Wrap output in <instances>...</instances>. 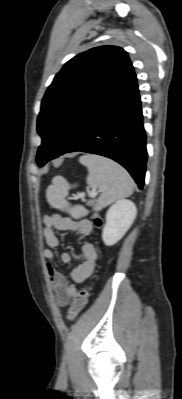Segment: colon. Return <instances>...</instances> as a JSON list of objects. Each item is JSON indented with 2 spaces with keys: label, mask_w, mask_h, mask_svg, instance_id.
Listing matches in <instances>:
<instances>
[{
  "label": "colon",
  "mask_w": 182,
  "mask_h": 399,
  "mask_svg": "<svg viewBox=\"0 0 182 399\" xmlns=\"http://www.w3.org/2000/svg\"><path fill=\"white\" fill-rule=\"evenodd\" d=\"M93 220L97 226H101L103 223L102 219L99 218L98 216H93ZM89 289H90L89 287H85L82 290H80L75 296L67 313V317L69 320L76 318L86 306L89 296Z\"/></svg>",
  "instance_id": "5ec220e1"
}]
</instances>
